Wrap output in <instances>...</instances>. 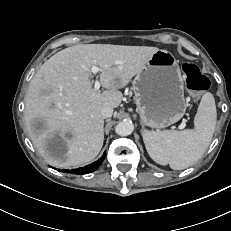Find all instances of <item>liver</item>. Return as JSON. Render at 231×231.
<instances>
[{
  "mask_svg": "<svg viewBox=\"0 0 231 231\" xmlns=\"http://www.w3.org/2000/svg\"><path fill=\"white\" fill-rule=\"evenodd\" d=\"M159 49L149 46L81 44L65 48L48 59L31 80L25 98L24 119L29 136L46 162L71 167L93 160L104 141L101 108H116L124 88ZM101 69L95 90L91 68ZM42 119L45 128L33 129ZM60 140L65 149L53 153L50 144Z\"/></svg>",
  "mask_w": 231,
  "mask_h": 231,
  "instance_id": "obj_1",
  "label": "liver"
}]
</instances>
